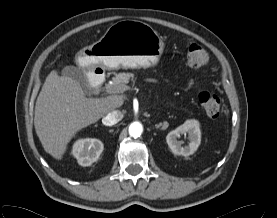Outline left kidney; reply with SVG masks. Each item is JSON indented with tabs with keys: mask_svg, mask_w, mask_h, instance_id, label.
<instances>
[{
	"mask_svg": "<svg viewBox=\"0 0 277 218\" xmlns=\"http://www.w3.org/2000/svg\"><path fill=\"white\" fill-rule=\"evenodd\" d=\"M186 133H188L189 136V144L182 146L178 138ZM166 141L174 154L185 157L192 155L198 149L201 142L199 122L195 119L186 120L182 125L167 134Z\"/></svg>",
	"mask_w": 277,
	"mask_h": 218,
	"instance_id": "obj_1",
	"label": "left kidney"
}]
</instances>
